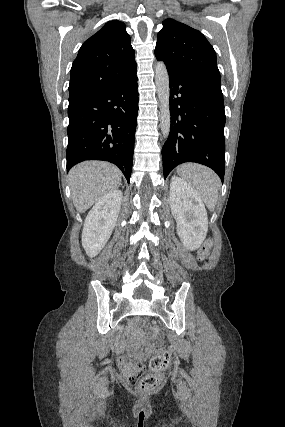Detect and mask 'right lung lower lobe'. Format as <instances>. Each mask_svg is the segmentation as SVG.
<instances>
[{
  "instance_id": "right-lung-lower-lobe-1",
  "label": "right lung lower lobe",
  "mask_w": 285,
  "mask_h": 427,
  "mask_svg": "<svg viewBox=\"0 0 285 427\" xmlns=\"http://www.w3.org/2000/svg\"><path fill=\"white\" fill-rule=\"evenodd\" d=\"M137 76L69 101L67 171L86 160L117 165L131 176L138 112Z\"/></svg>"
}]
</instances>
